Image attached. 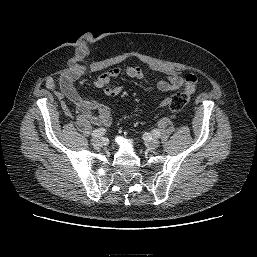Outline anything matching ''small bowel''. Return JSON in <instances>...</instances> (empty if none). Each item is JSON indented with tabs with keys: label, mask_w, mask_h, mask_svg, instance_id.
Wrapping results in <instances>:
<instances>
[{
	"label": "small bowel",
	"mask_w": 257,
	"mask_h": 257,
	"mask_svg": "<svg viewBox=\"0 0 257 257\" xmlns=\"http://www.w3.org/2000/svg\"><path fill=\"white\" fill-rule=\"evenodd\" d=\"M164 75V79L158 82V88L161 91L177 90L181 87L185 91L194 92L196 88L197 78L188 74L182 77L172 70H161ZM122 74L119 68H112L105 73L98 76L95 80L94 85L97 88H102L104 94L108 97H116L122 92V87L109 86V83L113 79H117ZM125 74L134 79L141 80L144 78V72L140 67L129 66L125 69ZM81 74L77 71H69L59 78V84L56 85L53 79L47 80V87L54 91L59 100L63 101L65 98L70 100L76 107L77 111L83 117L90 120L95 125H101L108 127L111 124V111L106 105H102L98 102L86 100L76 90L74 83L80 78ZM169 98L166 97H155L154 102H157L160 106L164 107L169 104ZM64 111L67 116H71L70 111L64 105Z\"/></svg>",
	"instance_id": "obj_1"
}]
</instances>
